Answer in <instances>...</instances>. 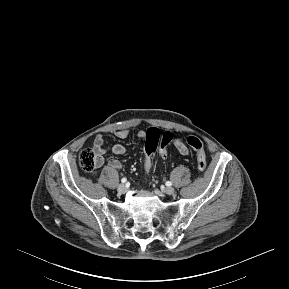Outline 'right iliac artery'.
Returning a JSON list of instances; mask_svg holds the SVG:
<instances>
[{
    "label": "right iliac artery",
    "mask_w": 289,
    "mask_h": 289,
    "mask_svg": "<svg viewBox=\"0 0 289 289\" xmlns=\"http://www.w3.org/2000/svg\"><path fill=\"white\" fill-rule=\"evenodd\" d=\"M126 181H127L126 178H122V179H121V182H122V183H125Z\"/></svg>",
    "instance_id": "1"
}]
</instances>
